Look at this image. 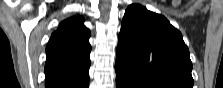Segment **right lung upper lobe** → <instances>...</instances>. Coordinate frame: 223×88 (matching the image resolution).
Masks as SVG:
<instances>
[{
    "label": "right lung upper lobe",
    "instance_id": "1",
    "mask_svg": "<svg viewBox=\"0 0 223 88\" xmlns=\"http://www.w3.org/2000/svg\"><path fill=\"white\" fill-rule=\"evenodd\" d=\"M75 16L60 23L46 47V88H79L89 80L90 31Z\"/></svg>",
    "mask_w": 223,
    "mask_h": 88
}]
</instances>
